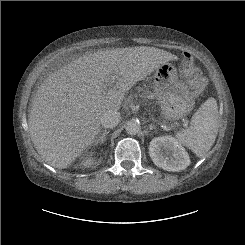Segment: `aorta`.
<instances>
[{
    "label": "aorta",
    "instance_id": "762f6f07",
    "mask_svg": "<svg viewBox=\"0 0 245 245\" xmlns=\"http://www.w3.org/2000/svg\"><path fill=\"white\" fill-rule=\"evenodd\" d=\"M126 132L130 135H136L140 132L141 126L140 123L136 120H130L126 123L125 126Z\"/></svg>",
    "mask_w": 245,
    "mask_h": 245
}]
</instances>
